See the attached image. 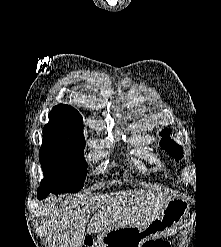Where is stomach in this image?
<instances>
[{
	"mask_svg": "<svg viewBox=\"0 0 221 247\" xmlns=\"http://www.w3.org/2000/svg\"><path fill=\"white\" fill-rule=\"evenodd\" d=\"M189 209L186 200L174 198L165 205L154 220L146 225L101 232L97 237L99 247H143L147 241L174 231L183 222Z\"/></svg>",
	"mask_w": 221,
	"mask_h": 247,
	"instance_id": "1",
	"label": "stomach"
}]
</instances>
